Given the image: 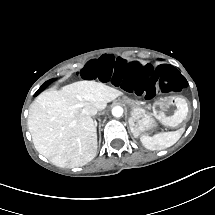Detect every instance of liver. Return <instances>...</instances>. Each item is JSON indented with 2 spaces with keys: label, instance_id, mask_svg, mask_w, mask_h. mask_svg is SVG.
I'll return each mask as SVG.
<instances>
[{
  "label": "liver",
  "instance_id": "1",
  "mask_svg": "<svg viewBox=\"0 0 215 215\" xmlns=\"http://www.w3.org/2000/svg\"><path fill=\"white\" fill-rule=\"evenodd\" d=\"M123 93L101 82L78 81L44 91L30 105L28 129L36 150L59 167H80L97 154V133L85 106L98 111Z\"/></svg>",
  "mask_w": 215,
  "mask_h": 215
}]
</instances>
